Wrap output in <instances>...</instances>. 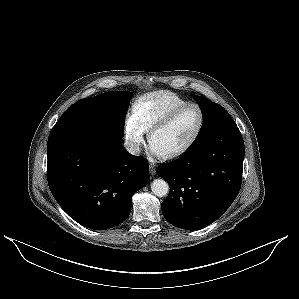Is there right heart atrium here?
<instances>
[{
  "label": "right heart atrium",
  "instance_id": "d8ad5b80",
  "mask_svg": "<svg viewBox=\"0 0 299 299\" xmlns=\"http://www.w3.org/2000/svg\"><path fill=\"white\" fill-rule=\"evenodd\" d=\"M146 131L147 130L134 115V113L128 114L126 116L124 134L127 145L131 152L138 153L140 151L141 145L144 142Z\"/></svg>",
  "mask_w": 299,
  "mask_h": 299
}]
</instances>
